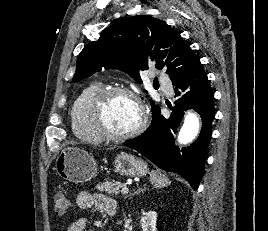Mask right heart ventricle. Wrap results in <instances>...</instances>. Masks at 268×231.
I'll return each mask as SVG.
<instances>
[{
    "label": "right heart ventricle",
    "mask_w": 268,
    "mask_h": 231,
    "mask_svg": "<svg viewBox=\"0 0 268 231\" xmlns=\"http://www.w3.org/2000/svg\"><path fill=\"white\" fill-rule=\"evenodd\" d=\"M103 88L101 82L93 81L88 83L75 98L70 106V122L72 131L79 139L87 142H100L92 130L88 120V107L92 97Z\"/></svg>",
    "instance_id": "1"
}]
</instances>
